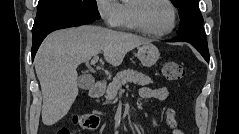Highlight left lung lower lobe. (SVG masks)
I'll list each match as a JSON object with an SVG mask.
<instances>
[{
	"label": "left lung lower lobe",
	"instance_id": "left-lung-lower-lobe-1",
	"mask_svg": "<svg viewBox=\"0 0 239 134\" xmlns=\"http://www.w3.org/2000/svg\"><path fill=\"white\" fill-rule=\"evenodd\" d=\"M176 41L189 42L200 52V54L205 58V60L209 62L210 57H209L206 35L200 36V35H194V34H185L175 38L174 40H171V42H176Z\"/></svg>",
	"mask_w": 239,
	"mask_h": 134
}]
</instances>
